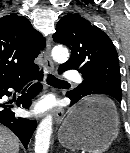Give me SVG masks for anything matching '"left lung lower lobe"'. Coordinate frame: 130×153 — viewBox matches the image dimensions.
<instances>
[{
    "instance_id": "obj_1",
    "label": "left lung lower lobe",
    "mask_w": 130,
    "mask_h": 153,
    "mask_svg": "<svg viewBox=\"0 0 130 153\" xmlns=\"http://www.w3.org/2000/svg\"><path fill=\"white\" fill-rule=\"evenodd\" d=\"M66 69H58V72L59 73H62L63 71H65ZM84 82V81H83ZM82 82V83H83ZM91 94H101V93H99V92H97V91H91V92H87V93H85V95L84 96H87V95H91ZM70 99H71V103L72 104H74V103H76V102H78L79 100H80V98H74V97H71V96H68Z\"/></svg>"
}]
</instances>
